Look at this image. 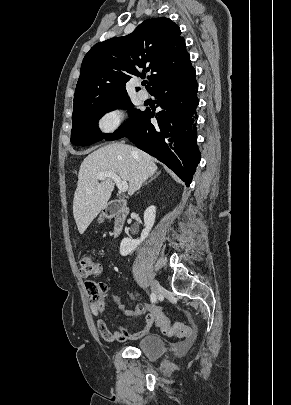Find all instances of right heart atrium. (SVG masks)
Masks as SVG:
<instances>
[{"instance_id":"d8ad5b80","label":"right heart atrium","mask_w":291,"mask_h":405,"mask_svg":"<svg viewBox=\"0 0 291 405\" xmlns=\"http://www.w3.org/2000/svg\"><path fill=\"white\" fill-rule=\"evenodd\" d=\"M123 119L124 112L121 108L107 109L97 119V130L101 134H112L121 127Z\"/></svg>"}]
</instances>
